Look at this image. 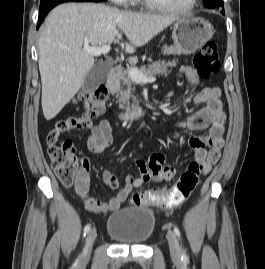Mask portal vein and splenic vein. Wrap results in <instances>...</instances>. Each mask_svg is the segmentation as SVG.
Wrapping results in <instances>:
<instances>
[{"label":"portal vein and splenic vein","instance_id":"1","mask_svg":"<svg viewBox=\"0 0 265 269\" xmlns=\"http://www.w3.org/2000/svg\"><path fill=\"white\" fill-rule=\"evenodd\" d=\"M83 50L93 56H100L102 54H108L110 52V45L106 44L101 47L84 46ZM129 76L137 83H153L156 81L154 77H146L137 68H131L128 70Z\"/></svg>","mask_w":265,"mask_h":269}]
</instances>
